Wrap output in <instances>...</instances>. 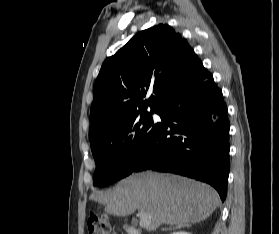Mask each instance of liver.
<instances>
[{
    "label": "liver",
    "instance_id": "obj_1",
    "mask_svg": "<svg viewBox=\"0 0 279 234\" xmlns=\"http://www.w3.org/2000/svg\"><path fill=\"white\" fill-rule=\"evenodd\" d=\"M107 213L125 217L136 210L145 213L154 231L161 225L188 226L209 217L220 204L209 185L185 177L144 172L121 180L113 190L91 196Z\"/></svg>",
    "mask_w": 279,
    "mask_h": 234
}]
</instances>
